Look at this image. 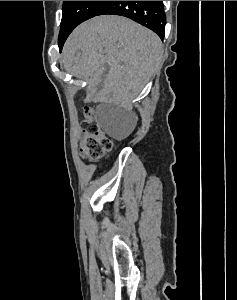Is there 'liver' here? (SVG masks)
I'll return each instance as SVG.
<instances>
[{
  "instance_id": "obj_1",
  "label": "liver",
  "mask_w": 237,
  "mask_h": 300,
  "mask_svg": "<svg viewBox=\"0 0 237 300\" xmlns=\"http://www.w3.org/2000/svg\"><path fill=\"white\" fill-rule=\"evenodd\" d=\"M158 35L138 23L101 15L85 21L69 35L62 53L67 71L92 75L91 87L112 101L131 103L138 97L163 57ZM94 93H91V97Z\"/></svg>"
}]
</instances>
